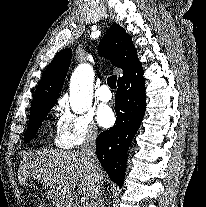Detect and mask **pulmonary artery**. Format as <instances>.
Masks as SVG:
<instances>
[{"label":"pulmonary artery","instance_id":"obj_1","mask_svg":"<svg viewBox=\"0 0 206 207\" xmlns=\"http://www.w3.org/2000/svg\"><path fill=\"white\" fill-rule=\"evenodd\" d=\"M97 97L103 102H108L112 99V93L106 84L100 86L97 91Z\"/></svg>","mask_w":206,"mask_h":207}]
</instances>
